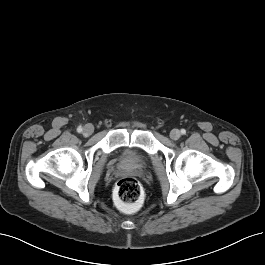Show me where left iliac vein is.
<instances>
[{
    "label": "left iliac vein",
    "mask_w": 265,
    "mask_h": 265,
    "mask_svg": "<svg viewBox=\"0 0 265 265\" xmlns=\"http://www.w3.org/2000/svg\"><path fill=\"white\" fill-rule=\"evenodd\" d=\"M181 137V133L178 129H173L170 132V138L172 140H178Z\"/></svg>",
    "instance_id": "left-iliac-vein-1"
}]
</instances>
